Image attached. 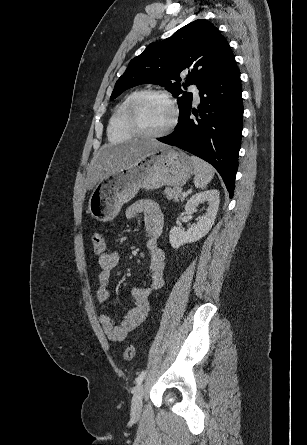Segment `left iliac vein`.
Instances as JSON below:
<instances>
[{
  "instance_id": "obj_1",
  "label": "left iliac vein",
  "mask_w": 307,
  "mask_h": 445,
  "mask_svg": "<svg viewBox=\"0 0 307 445\" xmlns=\"http://www.w3.org/2000/svg\"><path fill=\"white\" fill-rule=\"evenodd\" d=\"M143 385H139L133 395L132 398V405H131V416L132 418H138L141 415L142 412V406H143Z\"/></svg>"
}]
</instances>
